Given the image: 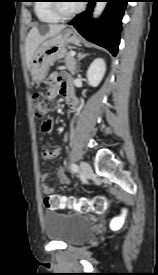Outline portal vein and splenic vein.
Returning <instances> with one entry per match:
<instances>
[{"label": "portal vein and splenic vein", "mask_w": 158, "mask_h": 275, "mask_svg": "<svg viewBox=\"0 0 158 275\" xmlns=\"http://www.w3.org/2000/svg\"><path fill=\"white\" fill-rule=\"evenodd\" d=\"M71 55H72V56H75V55H76V52H75V51H72V52H71Z\"/></svg>", "instance_id": "1"}]
</instances>
